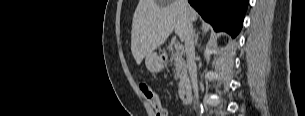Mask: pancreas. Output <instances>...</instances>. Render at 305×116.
I'll return each mask as SVG.
<instances>
[{
  "mask_svg": "<svg viewBox=\"0 0 305 116\" xmlns=\"http://www.w3.org/2000/svg\"><path fill=\"white\" fill-rule=\"evenodd\" d=\"M182 48V47H181ZM172 49L170 62L175 67V78L180 81L186 76V64L183 59L184 51L182 49Z\"/></svg>",
  "mask_w": 305,
  "mask_h": 116,
  "instance_id": "1",
  "label": "pancreas"
}]
</instances>
